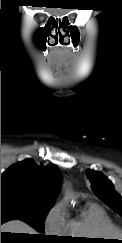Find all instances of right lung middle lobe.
Returning <instances> with one entry per match:
<instances>
[{
	"label": "right lung middle lobe",
	"mask_w": 122,
	"mask_h": 243,
	"mask_svg": "<svg viewBox=\"0 0 122 243\" xmlns=\"http://www.w3.org/2000/svg\"><path fill=\"white\" fill-rule=\"evenodd\" d=\"M53 204L30 201L13 196L1 197V224L9 220H21L44 232L45 218ZM41 238H45L43 235Z\"/></svg>",
	"instance_id": "1"
}]
</instances>
